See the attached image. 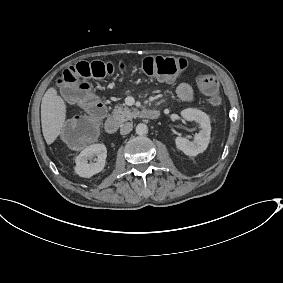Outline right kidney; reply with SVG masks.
<instances>
[{
  "label": "right kidney",
  "instance_id": "1",
  "mask_svg": "<svg viewBox=\"0 0 283 283\" xmlns=\"http://www.w3.org/2000/svg\"><path fill=\"white\" fill-rule=\"evenodd\" d=\"M98 155L97 162L88 164V159ZM107 148L104 144H92L85 147L75 159L74 172L81 178H91L100 173L106 165Z\"/></svg>",
  "mask_w": 283,
  "mask_h": 283
}]
</instances>
